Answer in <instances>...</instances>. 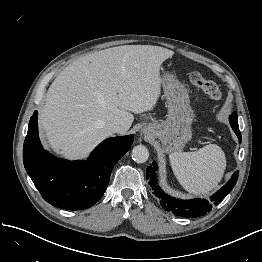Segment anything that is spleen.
Here are the masks:
<instances>
[{"instance_id": "obj_1", "label": "spleen", "mask_w": 262, "mask_h": 262, "mask_svg": "<svg viewBox=\"0 0 262 262\" xmlns=\"http://www.w3.org/2000/svg\"><path fill=\"white\" fill-rule=\"evenodd\" d=\"M174 175L182 187L193 194H205L217 187L225 168L222 149L209 144L193 152H172L169 155Z\"/></svg>"}]
</instances>
